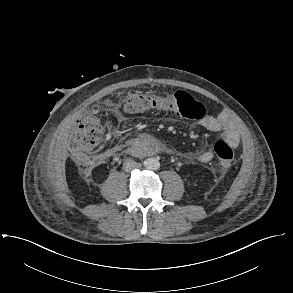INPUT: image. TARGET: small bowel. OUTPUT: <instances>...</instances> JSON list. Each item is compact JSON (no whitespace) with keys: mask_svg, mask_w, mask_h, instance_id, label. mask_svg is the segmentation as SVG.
Listing matches in <instances>:
<instances>
[{"mask_svg":"<svg viewBox=\"0 0 293 293\" xmlns=\"http://www.w3.org/2000/svg\"><path fill=\"white\" fill-rule=\"evenodd\" d=\"M199 118L197 125L207 131L219 133L223 139L236 148L240 144V134L235 124L228 119H218L211 115L206 114L203 104L199 109ZM214 154L211 150H205L196 155V159L202 163H208L212 161Z\"/></svg>","mask_w":293,"mask_h":293,"instance_id":"c3829d8e","label":"small bowel"}]
</instances>
